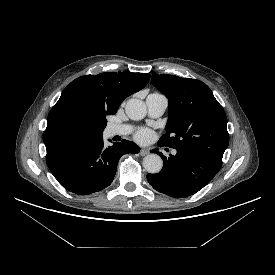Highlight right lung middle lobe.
<instances>
[{
	"label": "right lung middle lobe",
	"mask_w": 275,
	"mask_h": 275,
	"mask_svg": "<svg viewBox=\"0 0 275 275\" xmlns=\"http://www.w3.org/2000/svg\"><path fill=\"white\" fill-rule=\"evenodd\" d=\"M107 115H110V114L101 112L95 115L85 116L81 120V126L90 130L93 133L91 136H100L102 135V132L106 127Z\"/></svg>",
	"instance_id": "obj_1"
}]
</instances>
